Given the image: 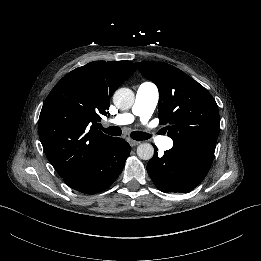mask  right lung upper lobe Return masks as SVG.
Here are the masks:
<instances>
[{
  "label": "right lung upper lobe",
  "mask_w": 261,
  "mask_h": 261,
  "mask_svg": "<svg viewBox=\"0 0 261 261\" xmlns=\"http://www.w3.org/2000/svg\"><path fill=\"white\" fill-rule=\"evenodd\" d=\"M130 61H94L65 75L47 96L38 121L44 152L65 178L97 158L113 137L95 128L114 91L135 71Z\"/></svg>",
  "instance_id": "1"
}]
</instances>
